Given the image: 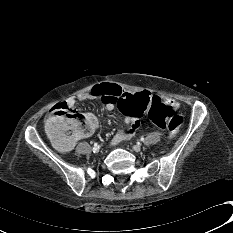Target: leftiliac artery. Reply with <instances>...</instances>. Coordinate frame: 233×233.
<instances>
[{"instance_id":"obj_1","label":"left iliac artery","mask_w":233,"mask_h":233,"mask_svg":"<svg viewBox=\"0 0 233 233\" xmlns=\"http://www.w3.org/2000/svg\"><path fill=\"white\" fill-rule=\"evenodd\" d=\"M140 141H144V137H141Z\"/></svg>"}]
</instances>
